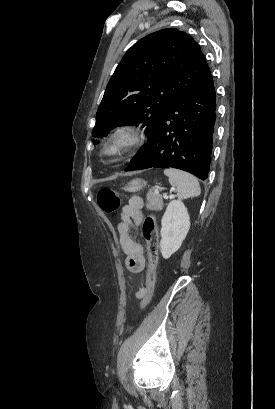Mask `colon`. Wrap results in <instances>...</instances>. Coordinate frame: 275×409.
<instances>
[{
    "mask_svg": "<svg viewBox=\"0 0 275 409\" xmlns=\"http://www.w3.org/2000/svg\"><path fill=\"white\" fill-rule=\"evenodd\" d=\"M97 202L101 210L105 213L117 212L120 210L122 205L120 195L115 190L110 188H103L98 191ZM141 234L147 243L148 257L146 282L140 303V307L143 309L149 304L152 298L159 256V238L156 226V216L154 212L149 213L145 217L141 225Z\"/></svg>",
    "mask_w": 275,
    "mask_h": 409,
    "instance_id": "obj_1",
    "label": "colon"
}]
</instances>
